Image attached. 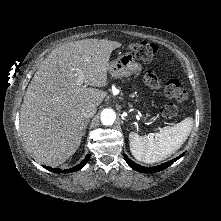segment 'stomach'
Listing matches in <instances>:
<instances>
[{
  "label": "stomach",
  "instance_id": "0dacf381",
  "mask_svg": "<svg viewBox=\"0 0 221 221\" xmlns=\"http://www.w3.org/2000/svg\"><path fill=\"white\" fill-rule=\"evenodd\" d=\"M141 69V64L135 61L133 54L126 52L110 62L108 71L113 77L122 78L134 74Z\"/></svg>",
  "mask_w": 221,
  "mask_h": 221
}]
</instances>
